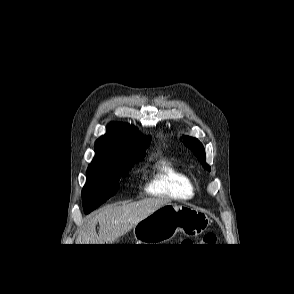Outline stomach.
Segmentation results:
<instances>
[{
  "mask_svg": "<svg viewBox=\"0 0 294 294\" xmlns=\"http://www.w3.org/2000/svg\"><path fill=\"white\" fill-rule=\"evenodd\" d=\"M209 225L206 213L188 205L168 203L137 223L133 235L137 244H164L178 232L196 237Z\"/></svg>",
  "mask_w": 294,
  "mask_h": 294,
  "instance_id": "obj_1",
  "label": "stomach"
}]
</instances>
